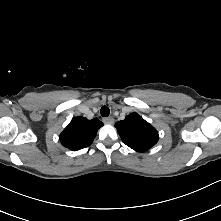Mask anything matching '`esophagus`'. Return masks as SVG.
<instances>
[{
    "instance_id": "34e87169",
    "label": "esophagus",
    "mask_w": 221,
    "mask_h": 221,
    "mask_svg": "<svg viewBox=\"0 0 221 221\" xmlns=\"http://www.w3.org/2000/svg\"><path fill=\"white\" fill-rule=\"evenodd\" d=\"M103 122L106 124H113L114 118L113 117H105V118H103Z\"/></svg>"
}]
</instances>
